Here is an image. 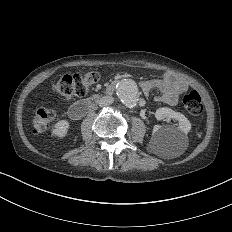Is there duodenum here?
Returning <instances> with one entry per match:
<instances>
[{"label": "duodenum", "instance_id": "1", "mask_svg": "<svg viewBox=\"0 0 232 232\" xmlns=\"http://www.w3.org/2000/svg\"><path fill=\"white\" fill-rule=\"evenodd\" d=\"M116 83H117L116 81L110 83L105 88L103 94H106V95L112 94L115 90ZM100 96H101L100 94H95L85 100H82L80 102L73 104L68 110V115L70 116V118L74 120H79L83 118L91 111V109L96 104Z\"/></svg>", "mask_w": 232, "mask_h": 232}]
</instances>
